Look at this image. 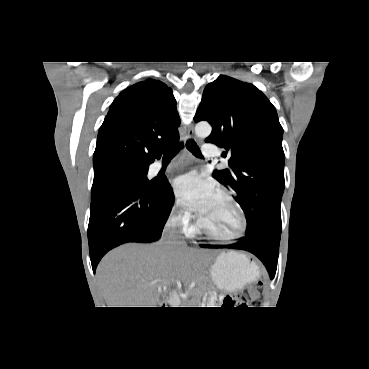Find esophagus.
<instances>
[{
	"instance_id": "obj_1",
	"label": "esophagus",
	"mask_w": 369,
	"mask_h": 369,
	"mask_svg": "<svg viewBox=\"0 0 369 369\" xmlns=\"http://www.w3.org/2000/svg\"><path fill=\"white\" fill-rule=\"evenodd\" d=\"M193 138H195V131H194V126H193V124H190L189 126H188V129H187V135H186V137H185V142L188 140V139H193Z\"/></svg>"
}]
</instances>
